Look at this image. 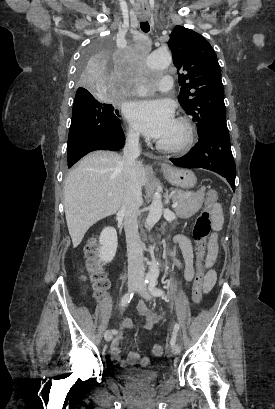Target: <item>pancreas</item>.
Segmentation results:
<instances>
[{"label": "pancreas", "mask_w": 275, "mask_h": 409, "mask_svg": "<svg viewBox=\"0 0 275 409\" xmlns=\"http://www.w3.org/2000/svg\"><path fill=\"white\" fill-rule=\"evenodd\" d=\"M205 188H201L198 192H189V190H172L173 202H178L174 211L177 217L189 219L195 213H198L204 202Z\"/></svg>", "instance_id": "obj_1"}]
</instances>
